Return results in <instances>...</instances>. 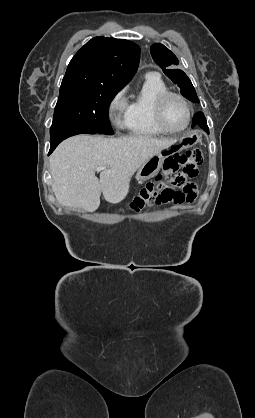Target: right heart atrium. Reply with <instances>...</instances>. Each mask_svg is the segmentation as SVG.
<instances>
[{
	"instance_id": "obj_1",
	"label": "right heart atrium",
	"mask_w": 255,
	"mask_h": 418,
	"mask_svg": "<svg viewBox=\"0 0 255 418\" xmlns=\"http://www.w3.org/2000/svg\"><path fill=\"white\" fill-rule=\"evenodd\" d=\"M128 108L126 90L123 88L112 97L108 105L109 120L116 128L127 127Z\"/></svg>"
}]
</instances>
